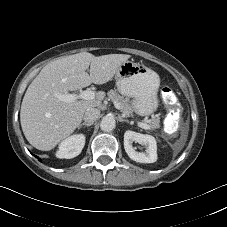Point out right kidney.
Returning <instances> with one entry per match:
<instances>
[{
    "label": "right kidney",
    "mask_w": 227,
    "mask_h": 227,
    "mask_svg": "<svg viewBox=\"0 0 227 227\" xmlns=\"http://www.w3.org/2000/svg\"><path fill=\"white\" fill-rule=\"evenodd\" d=\"M85 145V136L83 134H74L63 140L59 144L56 152L57 158L71 159L78 156Z\"/></svg>",
    "instance_id": "1"
}]
</instances>
